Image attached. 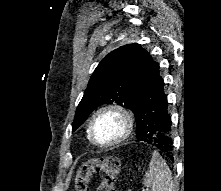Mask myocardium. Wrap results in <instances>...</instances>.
Returning <instances> with one entry per match:
<instances>
[{
    "instance_id": "f54148a6",
    "label": "myocardium",
    "mask_w": 221,
    "mask_h": 191,
    "mask_svg": "<svg viewBox=\"0 0 221 191\" xmlns=\"http://www.w3.org/2000/svg\"><path fill=\"white\" fill-rule=\"evenodd\" d=\"M105 114H114L118 116L122 121L123 129H122L121 134L113 141H110L107 143H100L95 139L93 130H94V125L97 119ZM134 124H135V121H134L133 114L124 106L117 105V104L105 105L99 108L98 110H96L94 114L92 115L89 125H88V130H87L88 137L94 145L101 147V148H110L126 141L133 132Z\"/></svg>"
}]
</instances>
